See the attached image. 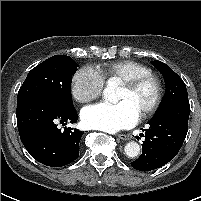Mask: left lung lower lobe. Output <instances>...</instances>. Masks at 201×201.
Wrapping results in <instances>:
<instances>
[{
  "mask_svg": "<svg viewBox=\"0 0 201 201\" xmlns=\"http://www.w3.org/2000/svg\"><path fill=\"white\" fill-rule=\"evenodd\" d=\"M189 114V104L173 105L156 113L148 122L149 129L143 130L142 154L131 165L136 170L151 171L171 161L185 140Z\"/></svg>",
  "mask_w": 201,
  "mask_h": 201,
  "instance_id": "obj_1",
  "label": "left lung lower lobe"
}]
</instances>
